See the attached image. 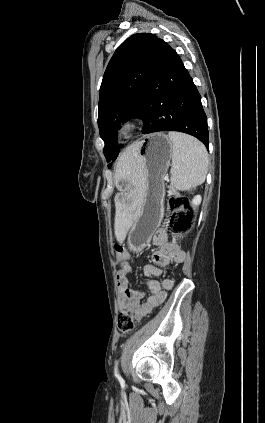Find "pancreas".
<instances>
[{
	"label": "pancreas",
	"instance_id": "pancreas-1",
	"mask_svg": "<svg viewBox=\"0 0 265 423\" xmlns=\"http://www.w3.org/2000/svg\"><path fill=\"white\" fill-rule=\"evenodd\" d=\"M172 192H173V193H175V194H177V193L175 192V190H173V189H172Z\"/></svg>",
	"mask_w": 265,
	"mask_h": 423
}]
</instances>
